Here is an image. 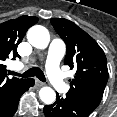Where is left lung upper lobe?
<instances>
[{"label":"left lung upper lobe","instance_id":"left-lung-upper-lobe-1","mask_svg":"<svg viewBox=\"0 0 117 117\" xmlns=\"http://www.w3.org/2000/svg\"><path fill=\"white\" fill-rule=\"evenodd\" d=\"M50 21L67 46L64 64L76 70L67 95L94 111L108 81L106 56L97 42L75 23L60 18Z\"/></svg>","mask_w":117,"mask_h":117}]
</instances>
